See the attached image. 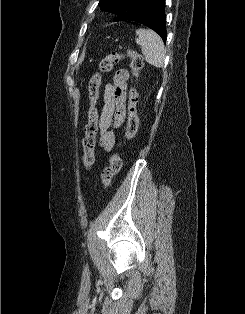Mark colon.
<instances>
[{"label":"colon","instance_id":"1","mask_svg":"<svg viewBox=\"0 0 245 314\" xmlns=\"http://www.w3.org/2000/svg\"><path fill=\"white\" fill-rule=\"evenodd\" d=\"M128 57L130 59V67L135 77L143 67L142 57L134 50H127L125 53L113 52L104 57L98 65V69L93 73L88 80V97H89V109H88V122L84 128V138L82 140L83 157L82 163L86 170H91L95 164V145L96 134L98 131V110L96 102L98 98V89L101 84L102 74L109 73L113 66L119 63L122 59ZM138 93L135 88H132L129 95V107H128V120L125 132V139H132L139 127V117L137 112ZM122 166L121 157L118 153L111 155L108 166L102 171L101 180L104 189H107L112 178L120 171Z\"/></svg>","mask_w":245,"mask_h":314}]
</instances>
